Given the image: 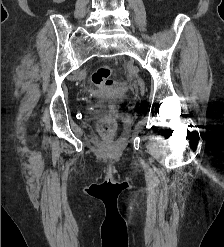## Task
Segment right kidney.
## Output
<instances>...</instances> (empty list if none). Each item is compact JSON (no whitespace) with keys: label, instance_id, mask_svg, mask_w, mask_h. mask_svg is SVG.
Masks as SVG:
<instances>
[{"label":"right kidney","instance_id":"1","mask_svg":"<svg viewBox=\"0 0 224 247\" xmlns=\"http://www.w3.org/2000/svg\"><path fill=\"white\" fill-rule=\"evenodd\" d=\"M53 2H55V4H62V2H65V0H53Z\"/></svg>","mask_w":224,"mask_h":247}]
</instances>
